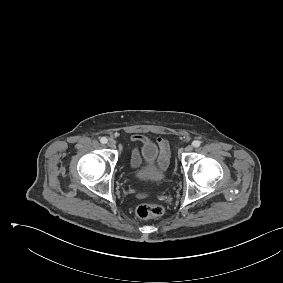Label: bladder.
I'll return each mask as SVG.
<instances>
[{
    "instance_id": "1",
    "label": "bladder",
    "mask_w": 283,
    "mask_h": 283,
    "mask_svg": "<svg viewBox=\"0 0 283 283\" xmlns=\"http://www.w3.org/2000/svg\"><path fill=\"white\" fill-rule=\"evenodd\" d=\"M141 153H142V157L143 159L151 164L154 162L157 154H158V148L157 146L152 143V142H147L144 143L141 147ZM139 174V173H138Z\"/></svg>"
}]
</instances>
